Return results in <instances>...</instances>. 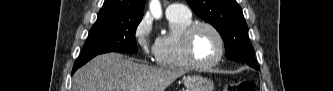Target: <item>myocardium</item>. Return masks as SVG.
<instances>
[{"label": "myocardium", "mask_w": 333, "mask_h": 91, "mask_svg": "<svg viewBox=\"0 0 333 91\" xmlns=\"http://www.w3.org/2000/svg\"><path fill=\"white\" fill-rule=\"evenodd\" d=\"M201 28H207L211 30L218 39L219 42V54L217 58L209 63H201L197 60L194 53V37L198 30ZM183 49L187 62L196 69L207 70L217 66L224 58L225 55V39L220 30L209 22H194L192 23L183 34Z\"/></svg>", "instance_id": "myocardium-1"}]
</instances>
